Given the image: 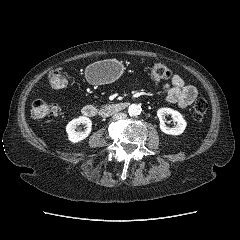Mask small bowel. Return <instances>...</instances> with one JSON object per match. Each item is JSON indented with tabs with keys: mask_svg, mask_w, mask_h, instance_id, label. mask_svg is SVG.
Listing matches in <instances>:
<instances>
[{
	"mask_svg": "<svg viewBox=\"0 0 240 240\" xmlns=\"http://www.w3.org/2000/svg\"><path fill=\"white\" fill-rule=\"evenodd\" d=\"M166 91V101L170 104H176L180 108L190 106L197 97L198 90L193 85H188L177 74H174L170 80L161 85Z\"/></svg>",
	"mask_w": 240,
	"mask_h": 240,
	"instance_id": "obj_1",
	"label": "small bowel"
}]
</instances>
